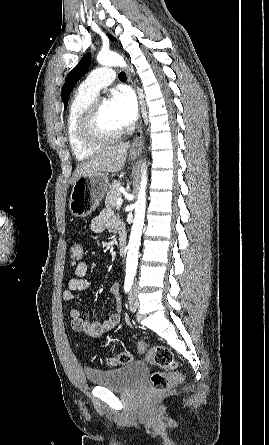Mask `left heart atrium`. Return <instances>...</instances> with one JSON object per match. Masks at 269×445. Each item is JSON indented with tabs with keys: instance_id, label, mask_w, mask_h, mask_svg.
Segmentation results:
<instances>
[{
	"instance_id": "39dd6f15",
	"label": "left heart atrium",
	"mask_w": 269,
	"mask_h": 445,
	"mask_svg": "<svg viewBox=\"0 0 269 445\" xmlns=\"http://www.w3.org/2000/svg\"><path fill=\"white\" fill-rule=\"evenodd\" d=\"M112 113L122 128L131 126L137 118V102L128 89L114 91L109 100Z\"/></svg>"
}]
</instances>
